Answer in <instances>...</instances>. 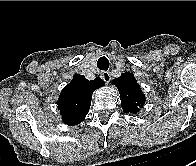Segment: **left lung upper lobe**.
<instances>
[{
	"mask_svg": "<svg viewBox=\"0 0 196 166\" xmlns=\"http://www.w3.org/2000/svg\"><path fill=\"white\" fill-rule=\"evenodd\" d=\"M112 83L117 86L120 93L123 111L125 113H137L145 103V96L134 75L123 73L120 77L115 78Z\"/></svg>",
	"mask_w": 196,
	"mask_h": 166,
	"instance_id": "5c2ea615",
	"label": "left lung upper lobe"
}]
</instances>
